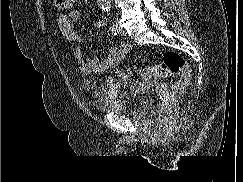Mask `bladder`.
Masks as SVG:
<instances>
[{"mask_svg": "<svg viewBox=\"0 0 243 182\" xmlns=\"http://www.w3.org/2000/svg\"><path fill=\"white\" fill-rule=\"evenodd\" d=\"M146 105V98L140 93L125 98L105 99L93 102L96 111L104 114L137 115Z\"/></svg>", "mask_w": 243, "mask_h": 182, "instance_id": "31cf9c89", "label": "bladder"}]
</instances>
